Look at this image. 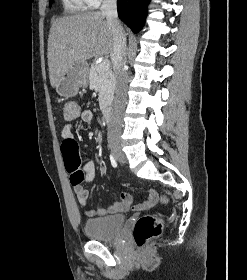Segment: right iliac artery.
Instances as JSON below:
<instances>
[{
  "mask_svg": "<svg viewBox=\"0 0 247 280\" xmlns=\"http://www.w3.org/2000/svg\"><path fill=\"white\" fill-rule=\"evenodd\" d=\"M110 161L113 167H117V162L112 154H110Z\"/></svg>",
  "mask_w": 247,
  "mask_h": 280,
  "instance_id": "obj_1",
  "label": "right iliac artery"
}]
</instances>
